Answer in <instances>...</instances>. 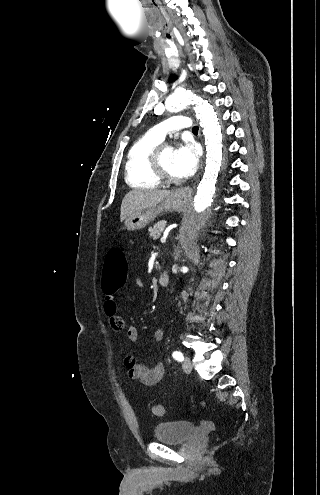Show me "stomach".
<instances>
[{
  "label": "stomach",
  "mask_w": 320,
  "mask_h": 495,
  "mask_svg": "<svg viewBox=\"0 0 320 495\" xmlns=\"http://www.w3.org/2000/svg\"><path fill=\"white\" fill-rule=\"evenodd\" d=\"M186 206L187 202L180 191H174L159 204L136 211L129 215L125 220V227L130 231L140 230L146 227L160 213L170 211L180 212L184 210Z\"/></svg>",
  "instance_id": "0dacf381"
}]
</instances>
